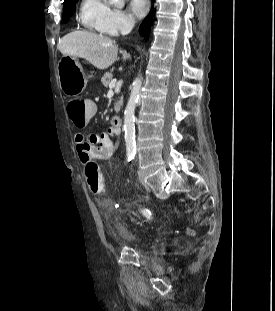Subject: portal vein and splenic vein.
<instances>
[{
  "mask_svg": "<svg viewBox=\"0 0 275 311\" xmlns=\"http://www.w3.org/2000/svg\"><path fill=\"white\" fill-rule=\"evenodd\" d=\"M115 84H116V79H113L110 84H109V88L112 89L115 87Z\"/></svg>",
  "mask_w": 275,
  "mask_h": 311,
  "instance_id": "18ae733b",
  "label": "portal vein and splenic vein"
}]
</instances>
